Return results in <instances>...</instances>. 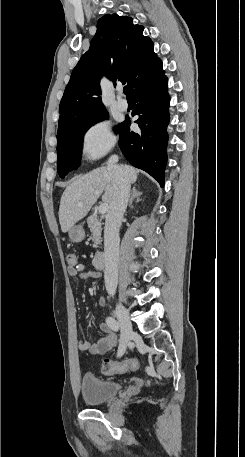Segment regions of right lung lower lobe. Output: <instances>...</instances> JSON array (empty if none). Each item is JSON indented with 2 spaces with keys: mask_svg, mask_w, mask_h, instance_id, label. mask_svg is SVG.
<instances>
[{
  "mask_svg": "<svg viewBox=\"0 0 245 457\" xmlns=\"http://www.w3.org/2000/svg\"><path fill=\"white\" fill-rule=\"evenodd\" d=\"M167 78L163 69L142 80L130 91L135 103L132 116L140 128L138 133L130 132L129 117L119 125V146L126 159L135 167L153 176L164 185V170L167 163L166 147L169 122V101Z\"/></svg>",
  "mask_w": 245,
  "mask_h": 457,
  "instance_id": "right-lung-lower-lobe-1",
  "label": "right lung lower lobe"
}]
</instances>
